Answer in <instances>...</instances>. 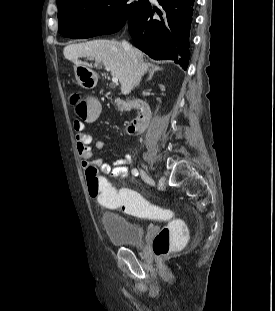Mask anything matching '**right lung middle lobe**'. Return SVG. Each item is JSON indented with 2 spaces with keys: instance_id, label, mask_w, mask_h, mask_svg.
I'll return each mask as SVG.
<instances>
[{
  "instance_id": "right-lung-middle-lobe-1",
  "label": "right lung middle lobe",
  "mask_w": 275,
  "mask_h": 311,
  "mask_svg": "<svg viewBox=\"0 0 275 311\" xmlns=\"http://www.w3.org/2000/svg\"><path fill=\"white\" fill-rule=\"evenodd\" d=\"M147 0H69L58 5L59 33L79 38L87 30L96 35L120 30Z\"/></svg>"
}]
</instances>
